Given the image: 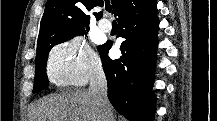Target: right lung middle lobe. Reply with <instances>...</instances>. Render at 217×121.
<instances>
[{"instance_id": "right-lung-middle-lobe-1", "label": "right lung middle lobe", "mask_w": 217, "mask_h": 121, "mask_svg": "<svg viewBox=\"0 0 217 121\" xmlns=\"http://www.w3.org/2000/svg\"><path fill=\"white\" fill-rule=\"evenodd\" d=\"M89 28L79 30L73 34H70L64 38L48 41L45 43H41L37 45V54H36V73H35V79H34V87H33V93L40 92L41 90L48 87V79L46 75V62L48 58L49 51L53 46H55L58 43L68 41L72 39L74 36L82 35L87 36ZM101 46L98 47V50H100Z\"/></svg>"}]
</instances>
